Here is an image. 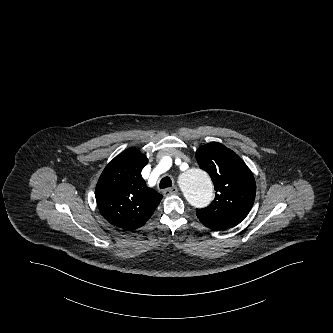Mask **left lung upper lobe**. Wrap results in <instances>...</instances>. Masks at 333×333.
<instances>
[{
  "mask_svg": "<svg viewBox=\"0 0 333 333\" xmlns=\"http://www.w3.org/2000/svg\"><path fill=\"white\" fill-rule=\"evenodd\" d=\"M197 162L215 186V199L204 209H197L201 223L219 231L238 225L251 210L256 182L243 160L224 145L212 142L196 151Z\"/></svg>",
  "mask_w": 333,
  "mask_h": 333,
  "instance_id": "1",
  "label": "left lung upper lobe"
}]
</instances>
